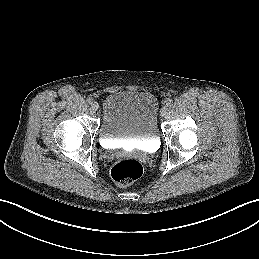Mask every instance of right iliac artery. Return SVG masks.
Returning a JSON list of instances; mask_svg holds the SVG:
<instances>
[{"instance_id":"1","label":"right iliac artery","mask_w":259,"mask_h":259,"mask_svg":"<svg viewBox=\"0 0 259 259\" xmlns=\"http://www.w3.org/2000/svg\"><path fill=\"white\" fill-rule=\"evenodd\" d=\"M87 102L89 103V104H91L92 102H93V99L92 98H87Z\"/></svg>"}]
</instances>
